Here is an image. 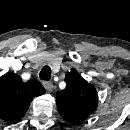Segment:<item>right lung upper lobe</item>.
I'll use <instances>...</instances> for the list:
<instances>
[{
  "label": "right lung upper lobe",
  "mask_w": 130,
  "mask_h": 130,
  "mask_svg": "<svg viewBox=\"0 0 130 130\" xmlns=\"http://www.w3.org/2000/svg\"><path fill=\"white\" fill-rule=\"evenodd\" d=\"M44 93L38 80L33 78L24 83L19 75L6 73L0 77V119L17 123L24 117L33 98Z\"/></svg>",
  "instance_id": "1"
}]
</instances>
